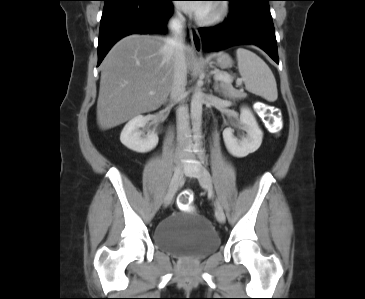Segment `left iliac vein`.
Masks as SVG:
<instances>
[{
  "label": "left iliac vein",
  "mask_w": 365,
  "mask_h": 299,
  "mask_svg": "<svg viewBox=\"0 0 365 299\" xmlns=\"http://www.w3.org/2000/svg\"><path fill=\"white\" fill-rule=\"evenodd\" d=\"M195 176L197 177L201 187L207 192L212 193V179L209 172L203 165L196 164ZM215 216L219 222H225V213L221 206L218 204H216Z\"/></svg>",
  "instance_id": "1"
}]
</instances>
